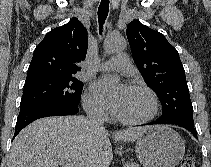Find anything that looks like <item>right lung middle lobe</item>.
I'll return each mask as SVG.
<instances>
[{
	"instance_id": "obj_1",
	"label": "right lung middle lobe",
	"mask_w": 211,
	"mask_h": 167,
	"mask_svg": "<svg viewBox=\"0 0 211 167\" xmlns=\"http://www.w3.org/2000/svg\"><path fill=\"white\" fill-rule=\"evenodd\" d=\"M83 82L74 76L41 77L26 80L20 109L41 104L78 105Z\"/></svg>"
}]
</instances>
